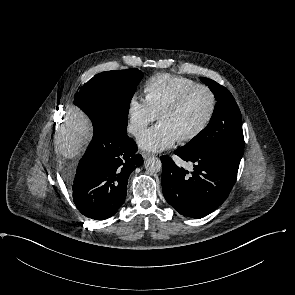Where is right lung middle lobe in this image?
I'll return each instance as SVG.
<instances>
[{
	"label": "right lung middle lobe",
	"mask_w": 295,
	"mask_h": 295,
	"mask_svg": "<svg viewBox=\"0 0 295 295\" xmlns=\"http://www.w3.org/2000/svg\"><path fill=\"white\" fill-rule=\"evenodd\" d=\"M142 77L136 68L99 73L75 94L74 104L92 123L126 133L130 101Z\"/></svg>",
	"instance_id": "1"
}]
</instances>
